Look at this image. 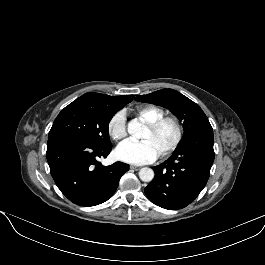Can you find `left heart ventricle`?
I'll return each mask as SVG.
<instances>
[{"label": "left heart ventricle", "instance_id": "b2bd125f", "mask_svg": "<svg viewBox=\"0 0 265 265\" xmlns=\"http://www.w3.org/2000/svg\"><path fill=\"white\" fill-rule=\"evenodd\" d=\"M175 137V128L171 123H166L157 132H151L148 128L142 135L143 141H149L157 153L160 154L168 147Z\"/></svg>", "mask_w": 265, "mask_h": 265}]
</instances>
